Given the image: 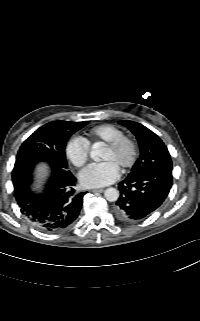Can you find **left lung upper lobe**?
Segmentation results:
<instances>
[{
  "mask_svg": "<svg viewBox=\"0 0 200 321\" xmlns=\"http://www.w3.org/2000/svg\"><path fill=\"white\" fill-rule=\"evenodd\" d=\"M119 124L127 127L136 136L140 157L132 167L131 172L162 168L172 170L171 156L162 140L150 129L140 123L124 120Z\"/></svg>",
  "mask_w": 200,
  "mask_h": 321,
  "instance_id": "5c2ea615",
  "label": "left lung upper lobe"
}]
</instances>
